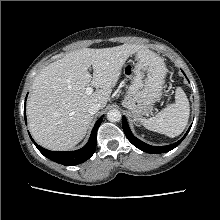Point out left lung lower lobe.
<instances>
[{"label":"left lung lower lobe","mask_w":220,"mask_h":220,"mask_svg":"<svg viewBox=\"0 0 220 220\" xmlns=\"http://www.w3.org/2000/svg\"><path fill=\"white\" fill-rule=\"evenodd\" d=\"M122 127H123V130H124L126 137L135 147H137L138 149H140L144 152L151 153V154H159V153H165V152L171 151L172 149L177 147L183 141V139L186 137V135L188 134V131L191 128L190 127L188 129L186 134L178 142L171 144V145H167V146L157 147V146L148 145V144L140 141L139 139H137L130 131V128H129L128 123H127L124 116L122 117Z\"/></svg>","instance_id":"0a47b994"}]
</instances>
